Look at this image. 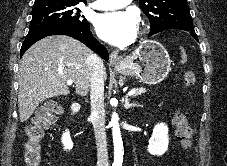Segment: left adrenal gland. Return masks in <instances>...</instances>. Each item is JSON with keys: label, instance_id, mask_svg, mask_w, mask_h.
Segmentation results:
<instances>
[{"label": "left adrenal gland", "instance_id": "a2214340", "mask_svg": "<svg viewBox=\"0 0 227 166\" xmlns=\"http://www.w3.org/2000/svg\"><path fill=\"white\" fill-rule=\"evenodd\" d=\"M139 106H140L139 103H135V102H131V103H130L129 97L126 95V97H125V103H124V107H125L126 109H130V108H132V107H139Z\"/></svg>", "mask_w": 227, "mask_h": 166}]
</instances>
